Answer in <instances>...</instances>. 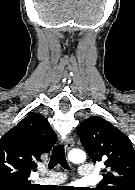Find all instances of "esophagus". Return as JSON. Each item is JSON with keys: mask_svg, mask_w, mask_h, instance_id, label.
Segmentation results:
<instances>
[{"mask_svg": "<svg viewBox=\"0 0 135 190\" xmlns=\"http://www.w3.org/2000/svg\"><path fill=\"white\" fill-rule=\"evenodd\" d=\"M74 144V140L72 136H68L65 140H64V146H65V150L68 152Z\"/></svg>", "mask_w": 135, "mask_h": 190, "instance_id": "34e87169", "label": "esophagus"}]
</instances>
